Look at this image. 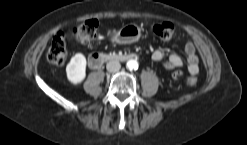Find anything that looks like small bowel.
Instances as JSON below:
<instances>
[{
    "label": "small bowel",
    "mask_w": 247,
    "mask_h": 145,
    "mask_svg": "<svg viewBox=\"0 0 247 145\" xmlns=\"http://www.w3.org/2000/svg\"><path fill=\"white\" fill-rule=\"evenodd\" d=\"M184 52L186 55L189 73L196 75L199 71V59L196 54L195 45L192 42H188L184 46ZM151 57L152 60L156 62L165 61V66L167 69H174L183 65V61L179 55L168 53L164 50H155Z\"/></svg>",
    "instance_id": "1"
}]
</instances>
